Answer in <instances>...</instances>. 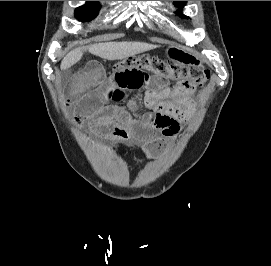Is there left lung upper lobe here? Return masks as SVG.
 <instances>
[{
    "label": "left lung upper lobe",
    "mask_w": 271,
    "mask_h": 266,
    "mask_svg": "<svg viewBox=\"0 0 271 266\" xmlns=\"http://www.w3.org/2000/svg\"><path fill=\"white\" fill-rule=\"evenodd\" d=\"M185 3H186V1H174V5L175 6H178V7H180V8H182L184 5H185ZM178 13H180V12H178ZM183 17H187V16H185V15H183L182 13H180ZM188 18V17H187Z\"/></svg>",
    "instance_id": "5c2ea615"
}]
</instances>
